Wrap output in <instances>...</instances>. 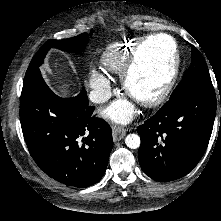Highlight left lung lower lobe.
Masks as SVG:
<instances>
[{"label":"left lung lower lobe","mask_w":221,"mask_h":221,"mask_svg":"<svg viewBox=\"0 0 221 221\" xmlns=\"http://www.w3.org/2000/svg\"><path fill=\"white\" fill-rule=\"evenodd\" d=\"M215 114L216 95L211 86L192 85L170 99L137 129L144 173L162 182L187 175L207 148Z\"/></svg>","instance_id":"left-lung-lower-lobe-1"}]
</instances>
